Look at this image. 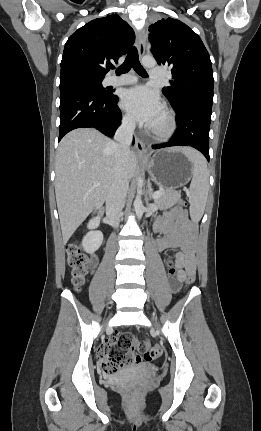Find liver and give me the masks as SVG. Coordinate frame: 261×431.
I'll return each mask as SVG.
<instances>
[{
	"label": "liver",
	"mask_w": 261,
	"mask_h": 431,
	"mask_svg": "<svg viewBox=\"0 0 261 431\" xmlns=\"http://www.w3.org/2000/svg\"><path fill=\"white\" fill-rule=\"evenodd\" d=\"M137 158L130 151L123 166L128 182ZM55 194L63 244L107 198L116 177L115 143L90 128L69 132L60 142L55 165ZM99 182L100 186L93 184Z\"/></svg>",
	"instance_id": "liver-1"
}]
</instances>
